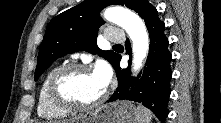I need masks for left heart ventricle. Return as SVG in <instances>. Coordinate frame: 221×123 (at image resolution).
<instances>
[{
	"instance_id": "left-heart-ventricle-1",
	"label": "left heart ventricle",
	"mask_w": 221,
	"mask_h": 123,
	"mask_svg": "<svg viewBox=\"0 0 221 123\" xmlns=\"http://www.w3.org/2000/svg\"><path fill=\"white\" fill-rule=\"evenodd\" d=\"M63 95L80 103H92L104 92V87L93 71H74L66 75L60 84Z\"/></svg>"
}]
</instances>
